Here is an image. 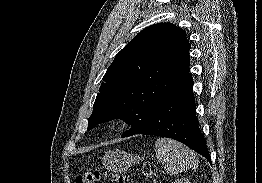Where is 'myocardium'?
Returning a JSON list of instances; mask_svg holds the SVG:
<instances>
[{"instance_id": "myocardium-1", "label": "myocardium", "mask_w": 262, "mask_h": 183, "mask_svg": "<svg viewBox=\"0 0 262 183\" xmlns=\"http://www.w3.org/2000/svg\"><path fill=\"white\" fill-rule=\"evenodd\" d=\"M120 120L119 119H116V118H111L109 120L106 121V128L109 129V130H114L116 128L119 127L120 125Z\"/></svg>"}]
</instances>
